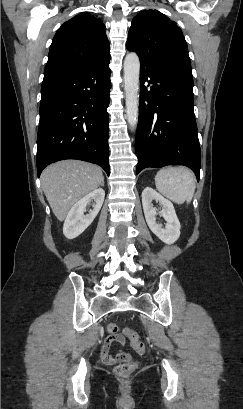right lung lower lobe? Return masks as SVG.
Here are the masks:
<instances>
[{
    "instance_id": "1",
    "label": "right lung lower lobe",
    "mask_w": 243,
    "mask_h": 409,
    "mask_svg": "<svg viewBox=\"0 0 243 409\" xmlns=\"http://www.w3.org/2000/svg\"><path fill=\"white\" fill-rule=\"evenodd\" d=\"M110 56L73 73L44 79L37 137V172L49 164L78 159L109 175Z\"/></svg>"
}]
</instances>
